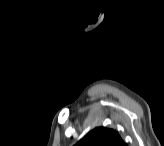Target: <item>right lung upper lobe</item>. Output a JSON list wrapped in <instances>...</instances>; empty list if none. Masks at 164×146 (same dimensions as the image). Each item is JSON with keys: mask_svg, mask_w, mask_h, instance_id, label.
I'll return each mask as SVG.
<instances>
[{"mask_svg": "<svg viewBox=\"0 0 164 146\" xmlns=\"http://www.w3.org/2000/svg\"><path fill=\"white\" fill-rule=\"evenodd\" d=\"M77 146H126L120 135L113 129L97 127L82 138Z\"/></svg>", "mask_w": 164, "mask_h": 146, "instance_id": "1", "label": "right lung upper lobe"}]
</instances>
